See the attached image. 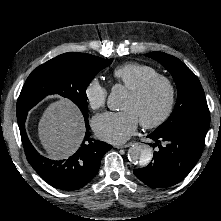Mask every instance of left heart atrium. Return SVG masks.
<instances>
[{
	"instance_id": "left-heart-atrium-1",
	"label": "left heart atrium",
	"mask_w": 221,
	"mask_h": 221,
	"mask_svg": "<svg viewBox=\"0 0 221 221\" xmlns=\"http://www.w3.org/2000/svg\"><path fill=\"white\" fill-rule=\"evenodd\" d=\"M139 120L129 110L118 113H106L93 119V128L97 135L111 143H122L132 136Z\"/></svg>"
}]
</instances>
